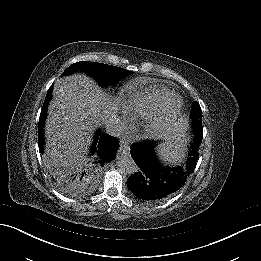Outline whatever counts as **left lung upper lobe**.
<instances>
[{"label":"left lung upper lobe","mask_w":261,"mask_h":261,"mask_svg":"<svg viewBox=\"0 0 261 261\" xmlns=\"http://www.w3.org/2000/svg\"><path fill=\"white\" fill-rule=\"evenodd\" d=\"M191 116L194 119L193 128L196 132V137H202L203 136V129L201 124V118H202V111L200 108V105L194 101L192 109H191Z\"/></svg>","instance_id":"obj_1"}]
</instances>
